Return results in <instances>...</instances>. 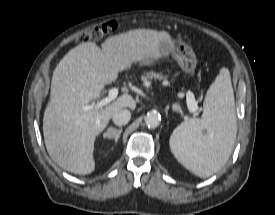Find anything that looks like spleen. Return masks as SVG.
Wrapping results in <instances>:
<instances>
[{
	"label": "spleen",
	"instance_id": "1",
	"mask_svg": "<svg viewBox=\"0 0 275 215\" xmlns=\"http://www.w3.org/2000/svg\"><path fill=\"white\" fill-rule=\"evenodd\" d=\"M201 119L181 123L170 137L176 159L191 173L206 178L228 161L237 134L234 94L230 73L222 68L209 87Z\"/></svg>",
	"mask_w": 275,
	"mask_h": 215
}]
</instances>
